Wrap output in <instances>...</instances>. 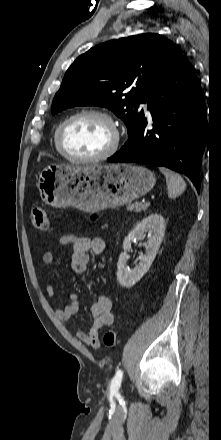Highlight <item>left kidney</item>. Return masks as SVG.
Here are the masks:
<instances>
[{"label": "left kidney", "instance_id": "5707ae66", "mask_svg": "<svg viewBox=\"0 0 221 440\" xmlns=\"http://www.w3.org/2000/svg\"><path fill=\"white\" fill-rule=\"evenodd\" d=\"M147 233V240L144 242L145 255L139 264L133 269L127 268V251L136 240H144ZM165 233V220L161 214L154 213L141 220L127 235L123 241L124 251L120 254L117 263V279L121 286L130 288L135 285L151 267Z\"/></svg>", "mask_w": 221, "mask_h": 440}]
</instances>
